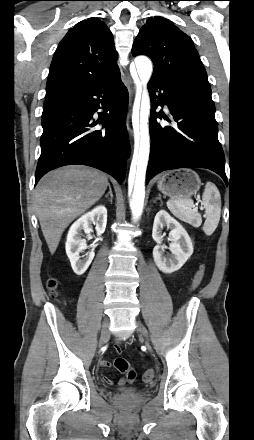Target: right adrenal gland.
Returning a JSON list of instances; mask_svg holds the SVG:
<instances>
[{
    "mask_svg": "<svg viewBox=\"0 0 254 440\" xmlns=\"http://www.w3.org/2000/svg\"><path fill=\"white\" fill-rule=\"evenodd\" d=\"M108 187H109V192L105 195V198H108L110 196V202L112 203L113 193H112V189H111L110 183L108 184Z\"/></svg>",
    "mask_w": 254,
    "mask_h": 440,
    "instance_id": "2a0ac1e0",
    "label": "right adrenal gland"
}]
</instances>
